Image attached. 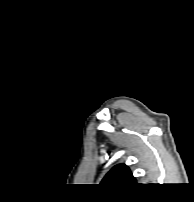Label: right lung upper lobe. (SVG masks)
<instances>
[{
	"instance_id": "obj_1",
	"label": "right lung upper lobe",
	"mask_w": 194,
	"mask_h": 202,
	"mask_svg": "<svg viewBox=\"0 0 194 202\" xmlns=\"http://www.w3.org/2000/svg\"><path fill=\"white\" fill-rule=\"evenodd\" d=\"M101 184L111 186H129L136 184V180L129 168L124 164H120L106 174Z\"/></svg>"
}]
</instances>
